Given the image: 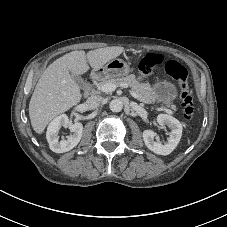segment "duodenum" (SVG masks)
Masks as SVG:
<instances>
[{"mask_svg": "<svg viewBox=\"0 0 227 227\" xmlns=\"http://www.w3.org/2000/svg\"><path fill=\"white\" fill-rule=\"evenodd\" d=\"M99 74L100 73H98V72H92L90 77H91V79H96V78H98ZM83 90H84L85 95H88L89 92L91 91V84L90 83H86L83 86Z\"/></svg>", "mask_w": 227, "mask_h": 227, "instance_id": "obj_1", "label": "duodenum"}]
</instances>
